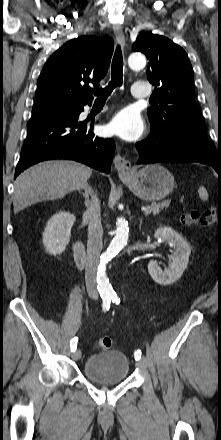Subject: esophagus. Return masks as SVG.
I'll return each mask as SVG.
<instances>
[{"label": "esophagus", "instance_id": "obj_1", "mask_svg": "<svg viewBox=\"0 0 221 440\" xmlns=\"http://www.w3.org/2000/svg\"><path fill=\"white\" fill-rule=\"evenodd\" d=\"M113 30L116 36L117 41L120 43L122 47L125 45V36L123 32V27L120 24H116L113 26ZM114 166L118 172L119 177H127L130 175L132 171L131 162L122 157L119 152L114 157Z\"/></svg>", "mask_w": 221, "mask_h": 440}]
</instances>
